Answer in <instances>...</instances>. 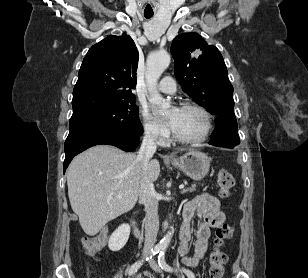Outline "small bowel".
<instances>
[{"label":"small bowel","mask_w":308,"mask_h":278,"mask_svg":"<svg viewBox=\"0 0 308 278\" xmlns=\"http://www.w3.org/2000/svg\"><path fill=\"white\" fill-rule=\"evenodd\" d=\"M182 215L183 222L179 233L180 244L178 253L184 265L195 267L206 255L210 229L222 226L226 218L221 211L219 200L208 193L201 194L187 202ZM194 218L197 219L195 230L196 242L194 254L189 256V243L192 237L191 222ZM137 278L153 277L151 273L146 271L142 275H138Z\"/></svg>","instance_id":"c3829d8e"}]
</instances>
